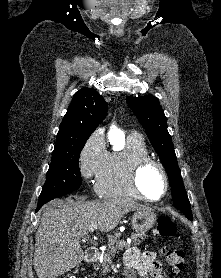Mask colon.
<instances>
[{"instance_id": "obj_1", "label": "colon", "mask_w": 221, "mask_h": 278, "mask_svg": "<svg viewBox=\"0 0 221 278\" xmlns=\"http://www.w3.org/2000/svg\"><path fill=\"white\" fill-rule=\"evenodd\" d=\"M156 234L163 238L175 236L176 227L174 222L169 217H159L157 221ZM165 253L171 272L174 274L180 273L183 270L186 261L184 251L181 249H168Z\"/></svg>"}]
</instances>
